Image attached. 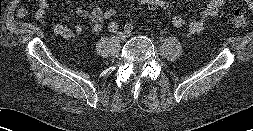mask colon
Listing matches in <instances>:
<instances>
[{
    "label": "colon",
    "instance_id": "colon-1",
    "mask_svg": "<svg viewBox=\"0 0 253 131\" xmlns=\"http://www.w3.org/2000/svg\"><path fill=\"white\" fill-rule=\"evenodd\" d=\"M141 2L150 10L168 9L172 2L170 0H141ZM118 11L109 7L103 9L104 22H110L117 18ZM231 23L234 27L242 28L247 24V13L244 10H235L232 15Z\"/></svg>",
    "mask_w": 253,
    "mask_h": 131
}]
</instances>
